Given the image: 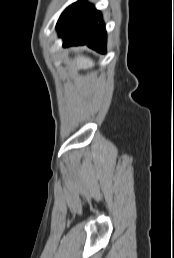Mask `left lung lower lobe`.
Wrapping results in <instances>:
<instances>
[{
	"instance_id": "obj_1",
	"label": "left lung lower lobe",
	"mask_w": 174,
	"mask_h": 258,
	"mask_svg": "<svg viewBox=\"0 0 174 258\" xmlns=\"http://www.w3.org/2000/svg\"><path fill=\"white\" fill-rule=\"evenodd\" d=\"M63 46L87 45L100 53L106 52V31L102 15L93 5L79 0L67 7L57 25Z\"/></svg>"
}]
</instances>
